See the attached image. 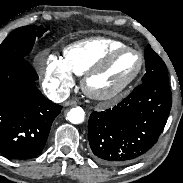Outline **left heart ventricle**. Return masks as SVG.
Returning a JSON list of instances; mask_svg holds the SVG:
<instances>
[{
  "label": "left heart ventricle",
  "mask_w": 183,
  "mask_h": 183,
  "mask_svg": "<svg viewBox=\"0 0 183 183\" xmlns=\"http://www.w3.org/2000/svg\"><path fill=\"white\" fill-rule=\"evenodd\" d=\"M140 58L135 52L118 55L104 72L90 81V86L98 92H109L124 85L138 70Z\"/></svg>",
  "instance_id": "left-heart-ventricle-1"
}]
</instances>
